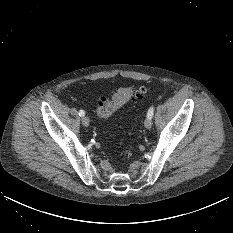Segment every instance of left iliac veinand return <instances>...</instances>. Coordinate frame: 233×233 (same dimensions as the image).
Wrapping results in <instances>:
<instances>
[{"label": "left iliac vein", "mask_w": 233, "mask_h": 233, "mask_svg": "<svg viewBox=\"0 0 233 233\" xmlns=\"http://www.w3.org/2000/svg\"><path fill=\"white\" fill-rule=\"evenodd\" d=\"M152 124H153V123H152V118H148V117H147V118L145 119V121H144L145 127L149 129V128L152 127Z\"/></svg>", "instance_id": "left-iliac-vein-1"}]
</instances>
